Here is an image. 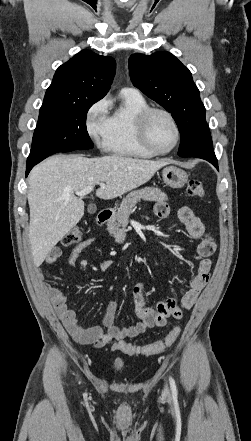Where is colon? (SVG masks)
Here are the masks:
<instances>
[{"instance_id": "5ec220e1", "label": "colon", "mask_w": 251, "mask_h": 441, "mask_svg": "<svg viewBox=\"0 0 251 441\" xmlns=\"http://www.w3.org/2000/svg\"><path fill=\"white\" fill-rule=\"evenodd\" d=\"M187 192L192 197L202 198L205 195L203 184L198 179H190L187 186ZM83 236L81 227H74L68 231L61 239V245L67 247L78 243ZM181 333L180 326L174 327L165 337L151 344L137 346L124 341L116 342L113 345L114 350H120L129 355L149 356L161 352L170 347L178 339Z\"/></svg>"}]
</instances>
